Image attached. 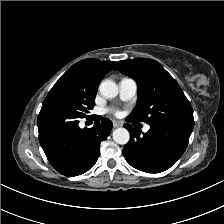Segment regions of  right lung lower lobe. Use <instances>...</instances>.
I'll return each mask as SVG.
<instances>
[{"label":"right lung lower lobe","mask_w":224,"mask_h":224,"mask_svg":"<svg viewBox=\"0 0 224 224\" xmlns=\"http://www.w3.org/2000/svg\"><path fill=\"white\" fill-rule=\"evenodd\" d=\"M80 118L42 107L37 119L39 141L48 161L69 177L81 175L94 166L100 155V143L107 139L112 128L109 119L99 116L92 128L81 129Z\"/></svg>","instance_id":"1"}]
</instances>
